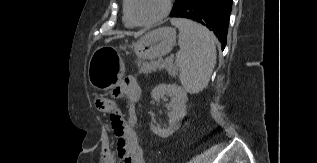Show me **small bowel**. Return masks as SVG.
I'll list each match as a JSON object with an SVG mask.
<instances>
[{
  "instance_id": "c3829d8e",
  "label": "small bowel",
  "mask_w": 317,
  "mask_h": 163,
  "mask_svg": "<svg viewBox=\"0 0 317 163\" xmlns=\"http://www.w3.org/2000/svg\"><path fill=\"white\" fill-rule=\"evenodd\" d=\"M117 98H125L129 103V119L121 132H116V147L106 145L102 163H145L144 155L134 130V104L140 97V87L134 78H125L113 90ZM112 102V101H111ZM114 103V102H112Z\"/></svg>"
}]
</instances>
